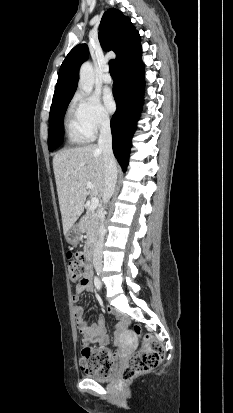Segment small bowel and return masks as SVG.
<instances>
[{
    "label": "small bowel",
    "instance_id": "1",
    "mask_svg": "<svg viewBox=\"0 0 233 413\" xmlns=\"http://www.w3.org/2000/svg\"><path fill=\"white\" fill-rule=\"evenodd\" d=\"M78 257L82 256L81 252L77 253ZM92 291L93 290V284H92V278H91V273L88 274V276L80 281L75 289V292L73 293L72 300L74 303H77L80 299V296L83 291ZM109 312L116 315L119 322L117 324L118 328H122L128 325V320L124 316L118 314L114 309L110 308ZM74 316L76 319L77 327L82 334L83 338L81 340V344L84 347L88 343H93V344H98L100 346H104L108 343L109 341V336L105 332V319L102 315H100L95 323L89 324L85 317H84V312L82 307L80 306H75L74 307ZM103 349V348H101ZM113 359L118 356V353L112 354Z\"/></svg>",
    "mask_w": 233,
    "mask_h": 413
}]
</instances>
